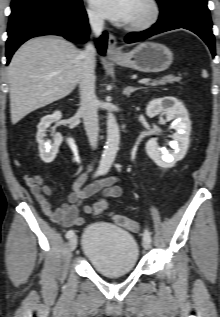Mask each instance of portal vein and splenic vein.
<instances>
[{
  "label": "portal vein and splenic vein",
  "mask_w": 220,
  "mask_h": 317,
  "mask_svg": "<svg viewBox=\"0 0 220 317\" xmlns=\"http://www.w3.org/2000/svg\"><path fill=\"white\" fill-rule=\"evenodd\" d=\"M150 81H151V79L145 78V79L139 80L138 82H139L140 84H147V83L150 82Z\"/></svg>",
  "instance_id": "obj_1"
}]
</instances>
